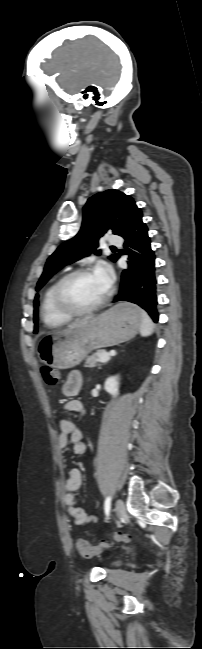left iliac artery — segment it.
I'll use <instances>...</instances> for the list:
<instances>
[{"label": "left iliac artery", "instance_id": "left-iliac-artery-1", "mask_svg": "<svg viewBox=\"0 0 202 649\" xmlns=\"http://www.w3.org/2000/svg\"><path fill=\"white\" fill-rule=\"evenodd\" d=\"M111 497H107L104 504L105 514L108 517L110 512Z\"/></svg>", "mask_w": 202, "mask_h": 649}]
</instances>
